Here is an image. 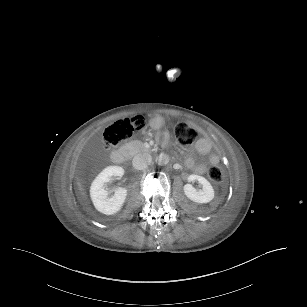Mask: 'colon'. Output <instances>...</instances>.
<instances>
[{
	"instance_id": "5ec220e1",
	"label": "colon",
	"mask_w": 307,
	"mask_h": 307,
	"mask_svg": "<svg viewBox=\"0 0 307 307\" xmlns=\"http://www.w3.org/2000/svg\"><path fill=\"white\" fill-rule=\"evenodd\" d=\"M145 127L141 117L120 119L110 124L102 136L104 148L116 147L130 139ZM174 135L182 147H190L196 139V132L186 122L179 121L174 126ZM210 180L220 183L224 178V171L218 165H213L208 171Z\"/></svg>"
}]
</instances>
